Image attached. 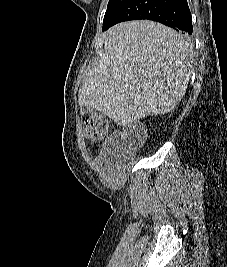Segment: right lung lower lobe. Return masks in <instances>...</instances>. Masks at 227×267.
I'll list each match as a JSON object with an SVG mask.
<instances>
[{"instance_id":"1","label":"right lung lower lobe","mask_w":227,"mask_h":267,"mask_svg":"<svg viewBox=\"0 0 227 267\" xmlns=\"http://www.w3.org/2000/svg\"><path fill=\"white\" fill-rule=\"evenodd\" d=\"M140 19L157 21L189 34L193 32L187 0H127L103 30L119 22Z\"/></svg>"}]
</instances>
